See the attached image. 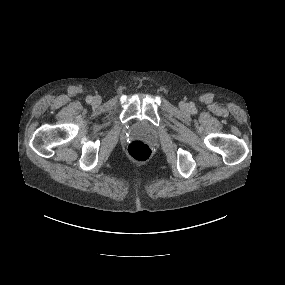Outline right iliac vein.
Listing matches in <instances>:
<instances>
[{
  "label": "right iliac vein",
  "instance_id": "1",
  "mask_svg": "<svg viewBox=\"0 0 285 285\" xmlns=\"http://www.w3.org/2000/svg\"><path fill=\"white\" fill-rule=\"evenodd\" d=\"M99 103H100V98L95 97V98H94V104H99Z\"/></svg>",
  "mask_w": 285,
  "mask_h": 285
}]
</instances>
